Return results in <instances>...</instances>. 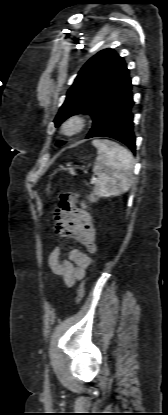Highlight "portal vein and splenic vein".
Instances as JSON below:
<instances>
[{"mask_svg":"<svg viewBox=\"0 0 168 415\" xmlns=\"http://www.w3.org/2000/svg\"><path fill=\"white\" fill-rule=\"evenodd\" d=\"M91 183H95V178H92L91 179Z\"/></svg>","mask_w":168,"mask_h":415,"instance_id":"1","label":"portal vein and splenic vein"}]
</instances>
